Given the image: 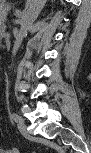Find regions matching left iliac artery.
I'll use <instances>...</instances> for the list:
<instances>
[{
  "instance_id": "left-iliac-artery-1",
  "label": "left iliac artery",
  "mask_w": 91,
  "mask_h": 153,
  "mask_svg": "<svg viewBox=\"0 0 91 153\" xmlns=\"http://www.w3.org/2000/svg\"><path fill=\"white\" fill-rule=\"evenodd\" d=\"M10 117L12 120H14L15 122H18L21 118L16 114V113H11Z\"/></svg>"
}]
</instances>
